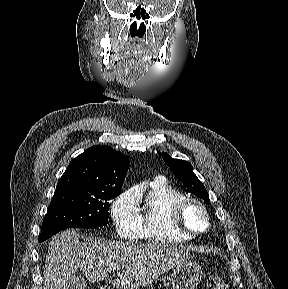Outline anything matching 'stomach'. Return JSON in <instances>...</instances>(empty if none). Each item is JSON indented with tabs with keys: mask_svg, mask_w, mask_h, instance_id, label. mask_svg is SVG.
Masks as SVG:
<instances>
[{
	"mask_svg": "<svg viewBox=\"0 0 288 289\" xmlns=\"http://www.w3.org/2000/svg\"><path fill=\"white\" fill-rule=\"evenodd\" d=\"M202 269L196 262L188 261L176 266L171 274L173 289H196L202 278Z\"/></svg>",
	"mask_w": 288,
	"mask_h": 289,
	"instance_id": "0dacf381",
	"label": "stomach"
}]
</instances>
